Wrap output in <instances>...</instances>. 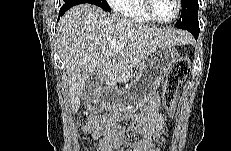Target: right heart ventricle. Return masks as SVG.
I'll list each match as a JSON object with an SVG mask.
<instances>
[{
  "mask_svg": "<svg viewBox=\"0 0 231 151\" xmlns=\"http://www.w3.org/2000/svg\"><path fill=\"white\" fill-rule=\"evenodd\" d=\"M115 9L129 22L155 23L145 11V0H121L115 5Z\"/></svg>",
  "mask_w": 231,
  "mask_h": 151,
  "instance_id": "e07e8e85",
  "label": "right heart ventricle"
}]
</instances>
